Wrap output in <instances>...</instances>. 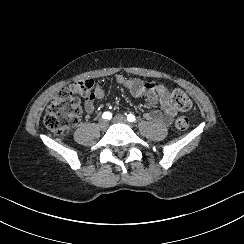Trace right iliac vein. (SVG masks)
Instances as JSON below:
<instances>
[{"instance_id": "right-iliac-vein-1", "label": "right iliac vein", "mask_w": 244, "mask_h": 244, "mask_svg": "<svg viewBox=\"0 0 244 244\" xmlns=\"http://www.w3.org/2000/svg\"><path fill=\"white\" fill-rule=\"evenodd\" d=\"M98 125H99L100 129L105 130L108 127V121L102 119V120L99 121Z\"/></svg>"}]
</instances>
